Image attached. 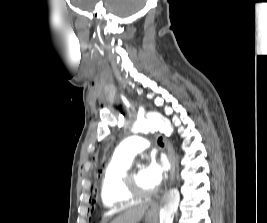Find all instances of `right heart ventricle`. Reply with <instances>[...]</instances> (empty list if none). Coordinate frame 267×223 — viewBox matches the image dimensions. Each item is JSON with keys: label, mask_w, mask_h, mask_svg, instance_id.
<instances>
[{"label": "right heart ventricle", "mask_w": 267, "mask_h": 223, "mask_svg": "<svg viewBox=\"0 0 267 223\" xmlns=\"http://www.w3.org/2000/svg\"><path fill=\"white\" fill-rule=\"evenodd\" d=\"M132 160L113 155L107 164L101 181V201L109 212H115L130 204L131 200L126 196L123 178L131 166Z\"/></svg>", "instance_id": "right-heart-ventricle-1"}]
</instances>
